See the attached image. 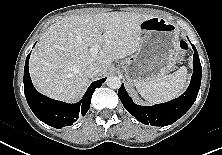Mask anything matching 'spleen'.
<instances>
[{
	"label": "spleen",
	"mask_w": 222,
	"mask_h": 155,
	"mask_svg": "<svg viewBox=\"0 0 222 155\" xmlns=\"http://www.w3.org/2000/svg\"><path fill=\"white\" fill-rule=\"evenodd\" d=\"M186 78V67H180L170 75L154 80L141 81L135 86L140 95L149 103H161L178 97L186 85Z\"/></svg>",
	"instance_id": "spleen-1"
}]
</instances>
